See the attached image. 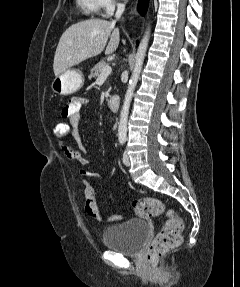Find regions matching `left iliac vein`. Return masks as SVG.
I'll list each match as a JSON object with an SVG mask.
<instances>
[{"mask_svg":"<svg viewBox=\"0 0 240 287\" xmlns=\"http://www.w3.org/2000/svg\"><path fill=\"white\" fill-rule=\"evenodd\" d=\"M123 163H124L126 166H129V165H130V159H129V156H128V154H127L126 151L124 152V155H123Z\"/></svg>","mask_w":240,"mask_h":287,"instance_id":"1","label":"left iliac vein"}]
</instances>
